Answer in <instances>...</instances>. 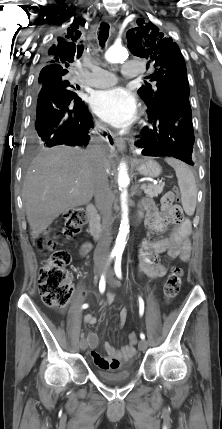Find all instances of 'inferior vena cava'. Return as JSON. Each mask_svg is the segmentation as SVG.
<instances>
[{
	"mask_svg": "<svg viewBox=\"0 0 222 429\" xmlns=\"http://www.w3.org/2000/svg\"><path fill=\"white\" fill-rule=\"evenodd\" d=\"M106 129L107 128L104 124L100 122L96 123L93 133L97 134L98 136L92 137V142H94L95 145H91L87 149V153L92 159L98 160L102 157L103 148L101 143L103 142V138L100 135V132ZM94 197L96 206L102 215L104 224L102 236L94 252V260L106 261L110 249L111 229L113 223L112 199L107 174L105 170L99 166L97 167L94 181Z\"/></svg>",
	"mask_w": 222,
	"mask_h": 429,
	"instance_id": "inferior-vena-cava-1",
	"label": "inferior vena cava"
}]
</instances>
